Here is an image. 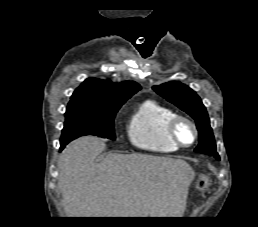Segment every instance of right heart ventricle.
<instances>
[{
    "mask_svg": "<svg viewBox=\"0 0 258 227\" xmlns=\"http://www.w3.org/2000/svg\"><path fill=\"white\" fill-rule=\"evenodd\" d=\"M175 113L155 100H144L132 113L128 123L131 143L145 151L172 153L179 146L169 137L167 123Z\"/></svg>",
    "mask_w": 258,
    "mask_h": 227,
    "instance_id": "1",
    "label": "right heart ventricle"
}]
</instances>
